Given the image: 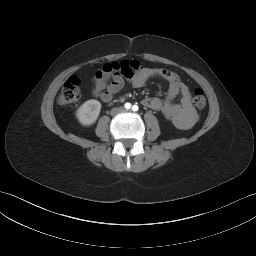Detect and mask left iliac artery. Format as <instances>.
<instances>
[{
	"label": "left iliac artery",
	"instance_id": "1",
	"mask_svg": "<svg viewBox=\"0 0 256 256\" xmlns=\"http://www.w3.org/2000/svg\"><path fill=\"white\" fill-rule=\"evenodd\" d=\"M138 109H139V107H138L137 105H134V106L132 107V110H133V111H138Z\"/></svg>",
	"mask_w": 256,
	"mask_h": 256
}]
</instances>
